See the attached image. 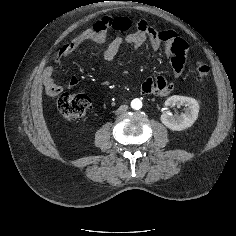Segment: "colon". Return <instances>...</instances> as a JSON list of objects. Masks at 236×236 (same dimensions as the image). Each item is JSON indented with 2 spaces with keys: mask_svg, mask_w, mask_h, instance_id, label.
<instances>
[{
  "mask_svg": "<svg viewBox=\"0 0 236 236\" xmlns=\"http://www.w3.org/2000/svg\"><path fill=\"white\" fill-rule=\"evenodd\" d=\"M100 24V21H97ZM131 27L128 18L113 19L111 29L113 31H125ZM210 68L207 64H198L195 69V77L198 81H205L209 76ZM91 105L90 98L84 93L61 95L57 100V108L62 116L70 121L81 120L89 110Z\"/></svg>",
  "mask_w": 236,
  "mask_h": 236,
  "instance_id": "obj_1",
  "label": "colon"
}]
</instances>
